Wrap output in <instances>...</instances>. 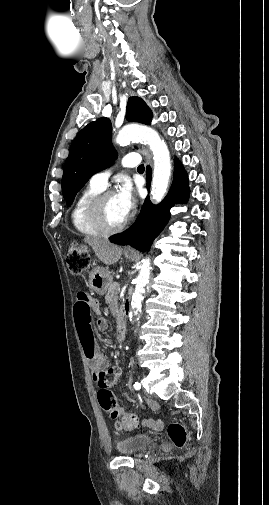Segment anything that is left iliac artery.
<instances>
[{
	"label": "left iliac artery",
	"instance_id": "1",
	"mask_svg": "<svg viewBox=\"0 0 269 505\" xmlns=\"http://www.w3.org/2000/svg\"><path fill=\"white\" fill-rule=\"evenodd\" d=\"M133 386H134L135 390H140V388H141V385L138 382H135Z\"/></svg>",
	"mask_w": 269,
	"mask_h": 505
}]
</instances>
